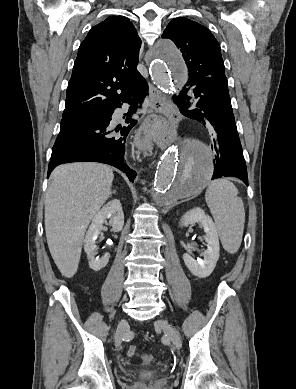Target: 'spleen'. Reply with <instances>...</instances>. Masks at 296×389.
<instances>
[{
  "label": "spleen",
  "mask_w": 296,
  "mask_h": 389,
  "mask_svg": "<svg viewBox=\"0 0 296 389\" xmlns=\"http://www.w3.org/2000/svg\"><path fill=\"white\" fill-rule=\"evenodd\" d=\"M205 200L214 218L223 248L234 254L238 251L244 231L245 210L236 186L227 179L212 181Z\"/></svg>",
  "instance_id": "obj_1"
}]
</instances>
